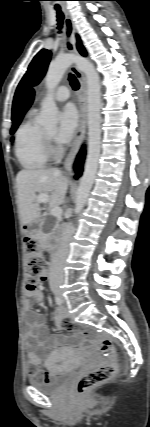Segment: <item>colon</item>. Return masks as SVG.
<instances>
[{
	"label": "colon",
	"mask_w": 150,
	"mask_h": 427,
	"mask_svg": "<svg viewBox=\"0 0 150 427\" xmlns=\"http://www.w3.org/2000/svg\"><path fill=\"white\" fill-rule=\"evenodd\" d=\"M27 257L26 285L29 292L36 291L47 279L48 269L38 243L30 238H24ZM92 343L108 359V363L82 376L76 385L78 395L83 396L95 387L112 379L118 371L114 345L107 339L91 337ZM46 379V377L44 378Z\"/></svg>",
	"instance_id": "obj_1"
}]
</instances>
